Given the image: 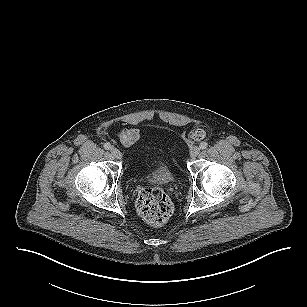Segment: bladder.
Returning <instances> with one entry per match:
<instances>
[{"label":"bladder","instance_id":"bladder-1","mask_svg":"<svg viewBox=\"0 0 307 307\" xmlns=\"http://www.w3.org/2000/svg\"><path fill=\"white\" fill-rule=\"evenodd\" d=\"M168 175H169V171L166 168V166L160 165L153 171L151 177L153 179H159V178L167 177Z\"/></svg>","mask_w":307,"mask_h":307}]
</instances>
